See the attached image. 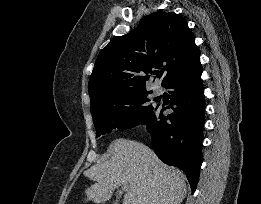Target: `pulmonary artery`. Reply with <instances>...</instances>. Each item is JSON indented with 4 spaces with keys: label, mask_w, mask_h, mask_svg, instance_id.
<instances>
[{
    "label": "pulmonary artery",
    "mask_w": 261,
    "mask_h": 204,
    "mask_svg": "<svg viewBox=\"0 0 261 204\" xmlns=\"http://www.w3.org/2000/svg\"><path fill=\"white\" fill-rule=\"evenodd\" d=\"M154 93H155L156 95L162 94V88H161L160 86L156 85V86L154 87Z\"/></svg>",
    "instance_id": "obj_1"
}]
</instances>
